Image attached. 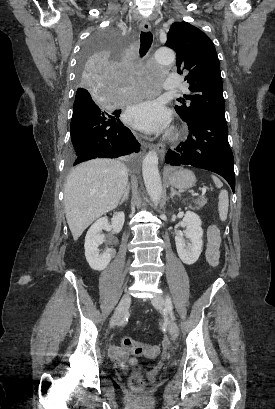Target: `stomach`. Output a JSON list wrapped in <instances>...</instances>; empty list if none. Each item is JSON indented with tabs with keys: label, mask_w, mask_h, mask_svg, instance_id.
<instances>
[{
	"label": "stomach",
	"mask_w": 275,
	"mask_h": 409,
	"mask_svg": "<svg viewBox=\"0 0 275 409\" xmlns=\"http://www.w3.org/2000/svg\"><path fill=\"white\" fill-rule=\"evenodd\" d=\"M168 182L175 188H191L196 182V176L187 168H179L170 172Z\"/></svg>",
	"instance_id": "stomach-1"
}]
</instances>
